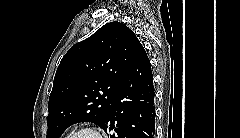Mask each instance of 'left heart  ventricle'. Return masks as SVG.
Masks as SVG:
<instances>
[{"label":"left heart ventricle","instance_id":"left-heart-ventricle-1","mask_svg":"<svg viewBox=\"0 0 240 138\" xmlns=\"http://www.w3.org/2000/svg\"><path fill=\"white\" fill-rule=\"evenodd\" d=\"M79 138H94V136L91 133H83L79 136Z\"/></svg>","mask_w":240,"mask_h":138}]
</instances>
